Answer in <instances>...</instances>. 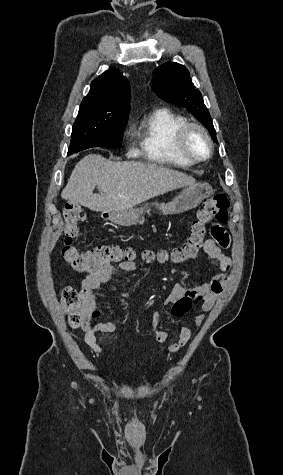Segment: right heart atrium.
<instances>
[{"mask_svg":"<svg viewBox=\"0 0 283 475\" xmlns=\"http://www.w3.org/2000/svg\"><path fill=\"white\" fill-rule=\"evenodd\" d=\"M125 152L128 156H131L136 152V149L131 142L130 132L128 129H125Z\"/></svg>","mask_w":283,"mask_h":475,"instance_id":"obj_1","label":"right heart atrium"}]
</instances>
